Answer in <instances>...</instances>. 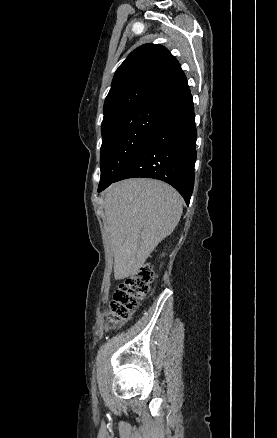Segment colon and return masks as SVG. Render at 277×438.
Wrapping results in <instances>:
<instances>
[{"label":"colon","mask_w":277,"mask_h":438,"mask_svg":"<svg viewBox=\"0 0 277 438\" xmlns=\"http://www.w3.org/2000/svg\"><path fill=\"white\" fill-rule=\"evenodd\" d=\"M151 276V267L144 266L136 274L128 276L120 282L113 294L110 306L112 320L125 319L139 307L140 300L150 293Z\"/></svg>","instance_id":"1"}]
</instances>
